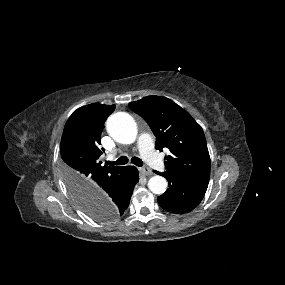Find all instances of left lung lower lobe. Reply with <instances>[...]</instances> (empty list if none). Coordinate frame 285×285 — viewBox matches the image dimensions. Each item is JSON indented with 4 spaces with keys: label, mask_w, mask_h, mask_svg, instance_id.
I'll list each match as a JSON object with an SVG mask.
<instances>
[{
    "label": "left lung lower lobe",
    "mask_w": 285,
    "mask_h": 285,
    "mask_svg": "<svg viewBox=\"0 0 285 285\" xmlns=\"http://www.w3.org/2000/svg\"><path fill=\"white\" fill-rule=\"evenodd\" d=\"M168 180L169 188L157 198L159 205L166 211L176 214L187 213L198 206L208 185L183 180L169 173H159Z\"/></svg>",
    "instance_id": "obj_1"
}]
</instances>
